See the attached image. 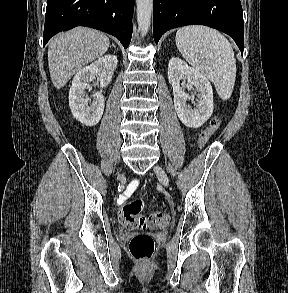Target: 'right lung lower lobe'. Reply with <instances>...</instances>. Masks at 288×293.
Segmentation results:
<instances>
[{
	"label": "right lung lower lobe",
	"instance_id": "obj_1",
	"mask_svg": "<svg viewBox=\"0 0 288 293\" xmlns=\"http://www.w3.org/2000/svg\"><path fill=\"white\" fill-rule=\"evenodd\" d=\"M133 10L134 0H48L43 45L58 32L87 26L115 36L127 48Z\"/></svg>",
	"mask_w": 288,
	"mask_h": 293
}]
</instances>
